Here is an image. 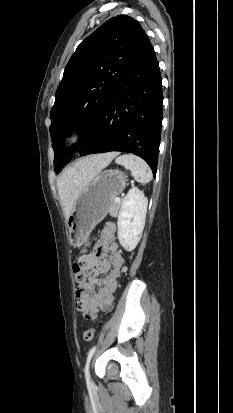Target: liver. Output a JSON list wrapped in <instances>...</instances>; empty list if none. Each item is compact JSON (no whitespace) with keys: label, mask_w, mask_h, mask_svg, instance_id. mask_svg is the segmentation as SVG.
<instances>
[{"label":"liver","mask_w":233,"mask_h":413,"mask_svg":"<svg viewBox=\"0 0 233 413\" xmlns=\"http://www.w3.org/2000/svg\"><path fill=\"white\" fill-rule=\"evenodd\" d=\"M118 155L110 152L76 161L57 180L58 194L67 220L81 191Z\"/></svg>","instance_id":"1"}]
</instances>
